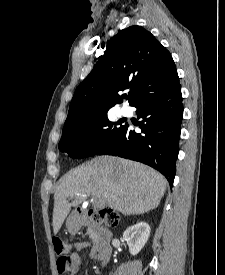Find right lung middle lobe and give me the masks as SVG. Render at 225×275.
Here are the masks:
<instances>
[{"label": "right lung middle lobe", "mask_w": 225, "mask_h": 275, "mask_svg": "<svg viewBox=\"0 0 225 275\" xmlns=\"http://www.w3.org/2000/svg\"><path fill=\"white\" fill-rule=\"evenodd\" d=\"M125 125L111 122L107 112L100 113L63 127L59 149L72 158L97 154L108 142L121 133Z\"/></svg>", "instance_id": "dd1d6c3e"}]
</instances>
